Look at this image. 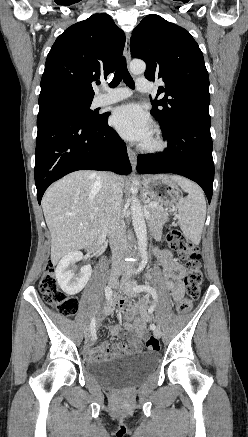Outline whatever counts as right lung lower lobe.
<instances>
[{
  "label": "right lung lower lobe",
  "instance_id": "obj_1",
  "mask_svg": "<svg viewBox=\"0 0 248 437\" xmlns=\"http://www.w3.org/2000/svg\"><path fill=\"white\" fill-rule=\"evenodd\" d=\"M107 120V114L86 121L65 109L39 110L34 171L39 204L48 186L70 172L132 171L126 145Z\"/></svg>",
  "mask_w": 248,
  "mask_h": 437
}]
</instances>
